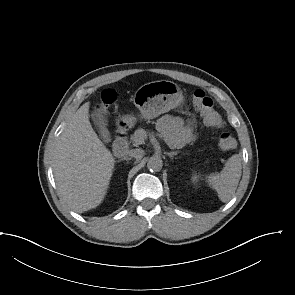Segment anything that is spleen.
<instances>
[{"instance_id":"spleen-1","label":"spleen","mask_w":295,"mask_h":295,"mask_svg":"<svg viewBox=\"0 0 295 295\" xmlns=\"http://www.w3.org/2000/svg\"><path fill=\"white\" fill-rule=\"evenodd\" d=\"M241 169V158L238 154H235L228 159L220 173H211L206 176V181L217 191L222 202L230 201L235 194L241 177Z\"/></svg>"}]
</instances>
